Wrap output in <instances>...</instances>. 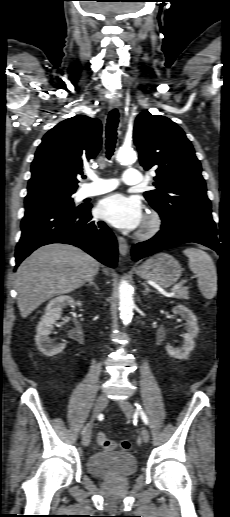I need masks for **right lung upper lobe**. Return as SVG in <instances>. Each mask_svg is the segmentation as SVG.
<instances>
[{"label": "right lung upper lobe", "instance_id": "cb5924a9", "mask_svg": "<svg viewBox=\"0 0 230 517\" xmlns=\"http://www.w3.org/2000/svg\"><path fill=\"white\" fill-rule=\"evenodd\" d=\"M101 134V122L85 115L68 118L47 132L31 165L25 202L73 194L77 174L100 150Z\"/></svg>", "mask_w": 230, "mask_h": 517}]
</instances>
